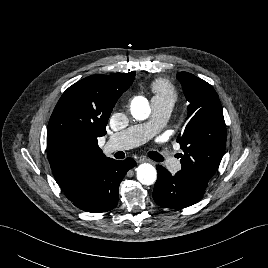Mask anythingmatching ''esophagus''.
Segmentation results:
<instances>
[{"mask_svg": "<svg viewBox=\"0 0 268 268\" xmlns=\"http://www.w3.org/2000/svg\"><path fill=\"white\" fill-rule=\"evenodd\" d=\"M150 160L147 158V157H145V156H140V157H138V159H137V162L138 163H143V162H149Z\"/></svg>", "mask_w": 268, "mask_h": 268, "instance_id": "esophagus-1", "label": "esophagus"}]
</instances>
